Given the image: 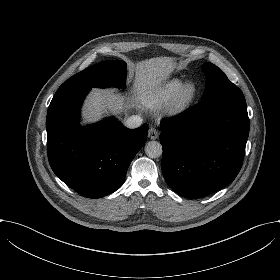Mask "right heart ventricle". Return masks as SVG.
I'll return each mask as SVG.
<instances>
[{
	"mask_svg": "<svg viewBox=\"0 0 280 280\" xmlns=\"http://www.w3.org/2000/svg\"><path fill=\"white\" fill-rule=\"evenodd\" d=\"M183 82L181 78H173L156 89L146 90L143 96L144 104L151 108L169 105L175 98Z\"/></svg>",
	"mask_w": 280,
	"mask_h": 280,
	"instance_id": "1",
	"label": "right heart ventricle"
}]
</instances>
